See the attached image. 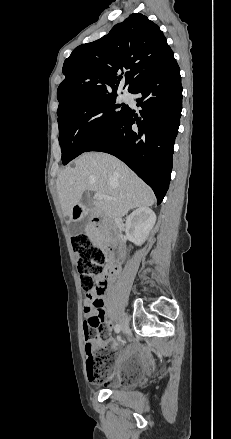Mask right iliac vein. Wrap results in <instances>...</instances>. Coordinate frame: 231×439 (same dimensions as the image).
Masks as SVG:
<instances>
[{
    "mask_svg": "<svg viewBox=\"0 0 231 439\" xmlns=\"http://www.w3.org/2000/svg\"><path fill=\"white\" fill-rule=\"evenodd\" d=\"M120 328L124 334L128 333V321L125 317H122L120 320Z\"/></svg>",
    "mask_w": 231,
    "mask_h": 439,
    "instance_id": "63e3f726",
    "label": "right iliac vein"
}]
</instances>
